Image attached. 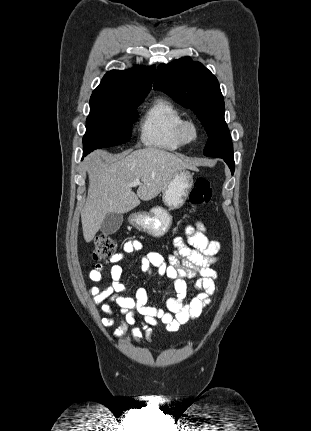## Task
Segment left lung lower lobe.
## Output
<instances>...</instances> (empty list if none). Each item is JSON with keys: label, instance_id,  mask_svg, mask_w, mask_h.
Masks as SVG:
<instances>
[{"label": "left lung lower lobe", "instance_id": "1", "mask_svg": "<svg viewBox=\"0 0 311 431\" xmlns=\"http://www.w3.org/2000/svg\"><path fill=\"white\" fill-rule=\"evenodd\" d=\"M219 158H222L226 162V164L229 166V168H230V170H231V172L233 174L234 173V169H235L233 154L224 155V156H221Z\"/></svg>", "mask_w": 311, "mask_h": 431}]
</instances>
